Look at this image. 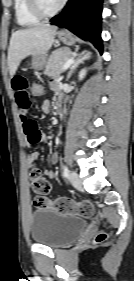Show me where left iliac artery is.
<instances>
[{"mask_svg":"<svg viewBox=\"0 0 134 281\" xmlns=\"http://www.w3.org/2000/svg\"><path fill=\"white\" fill-rule=\"evenodd\" d=\"M68 175H69L68 167H67V166H64V168H63V177H64V178H67Z\"/></svg>","mask_w":134,"mask_h":281,"instance_id":"obj_1","label":"left iliac artery"}]
</instances>
